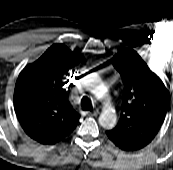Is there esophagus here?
<instances>
[{
    "label": "esophagus",
    "instance_id": "34e87169",
    "mask_svg": "<svg viewBox=\"0 0 173 170\" xmlns=\"http://www.w3.org/2000/svg\"><path fill=\"white\" fill-rule=\"evenodd\" d=\"M86 114L92 115V116H97L99 114V110L95 109L93 111H87Z\"/></svg>",
    "mask_w": 173,
    "mask_h": 170
}]
</instances>
